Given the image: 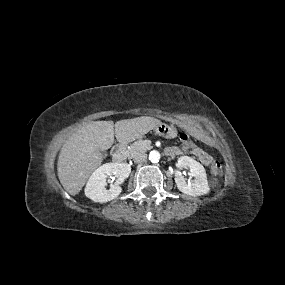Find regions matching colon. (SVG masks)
I'll return each instance as SVG.
<instances>
[{
	"instance_id": "colon-1",
	"label": "colon",
	"mask_w": 285,
	"mask_h": 285,
	"mask_svg": "<svg viewBox=\"0 0 285 285\" xmlns=\"http://www.w3.org/2000/svg\"><path fill=\"white\" fill-rule=\"evenodd\" d=\"M178 139L180 142H182V145L187 149H193L197 144L196 139L190 136L187 132L180 133ZM212 173L217 178L222 175V165L219 161L214 162L212 166Z\"/></svg>"
}]
</instances>
